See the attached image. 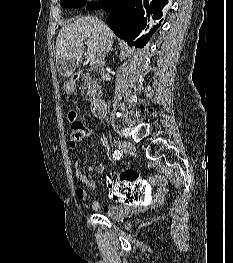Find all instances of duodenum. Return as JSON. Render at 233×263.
<instances>
[{"label":"duodenum","instance_id":"duodenum-1","mask_svg":"<svg viewBox=\"0 0 233 263\" xmlns=\"http://www.w3.org/2000/svg\"><path fill=\"white\" fill-rule=\"evenodd\" d=\"M78 75H75L77 78ZM87 97L91 100V111L97 118H102L107 113V106L103 100L102 90L99 89V85H88Z\"/></svg>","mask_w":233,"mask_h":263}]
</instances>
